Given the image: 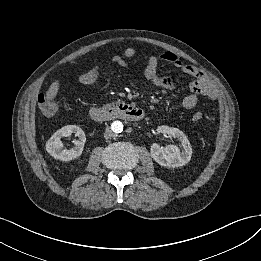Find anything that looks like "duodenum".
<instances>
[{"instance_id": "410a0bca", "label": "duodenum", "mask_w": 261, "mask_h": 261, "mask_svg": "<svg viewBox=\"0 0 261 261\" xmlns=\"http://www.w3.org/2000/svg\"><path fill=\"white\" fill-rule=\"evenodd\" d=\"M90 115L96 121L116 119L139 121L142 118L143 113L139 108L131 104L121 103L103 108L93 107L90 110Z\"/></svg>"}]
</instances>
